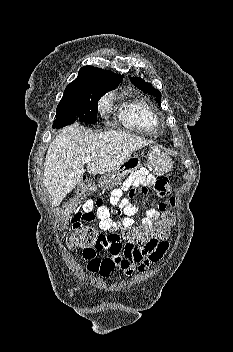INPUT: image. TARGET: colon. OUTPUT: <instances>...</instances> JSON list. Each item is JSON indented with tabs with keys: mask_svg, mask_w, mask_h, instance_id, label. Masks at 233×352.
I'll return each mask as SVG.
<instances>
[{
	"mask_svg": "<svg viewBox=\"0 0 233 352\" xmlns=\"http://www.w3.org/2000/svg\"><path fill=\"white\" fill-rule=\"evenodd\" d=\"M170 204L173 206L174 201ZM67 223L66 214L59 216L57 226L63 228ZM175 224V214L172 209H163L161 218L150 228L137 227L122 230V236L128 245L149 246L166 241L171 228ZM105 235L100 234L92 226H82L67 240L71 249H88L99 245L105 240Z\"/></svg>",
	"mask_w": 233,
	"mask_h": 352,
	"instance_id": "5ec220e1",
	"label": "colon"
}]
</instances>
